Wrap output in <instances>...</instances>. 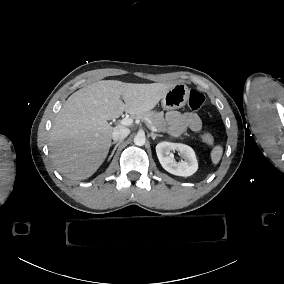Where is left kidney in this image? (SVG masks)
<instances>
[{
  "label": "left kidney",
  "instance_id": "5707ae66",
  "mask_svg": "<svg viewBox=\"0 0 284 284\" xmlns=\"http://www.w3.org/2000/svg\"><path fill=\"white\" fill-rule=\"evenodd\" d=\"M172 150H178L185 160L177 163L170 155ZM156 153L162 167L171 174L187 177L198 169L195 152L188 145L164 141L157 144Z\"/></svg>",
  "mask_w": 284,
  "mask_h": 284
}]
</instances>
